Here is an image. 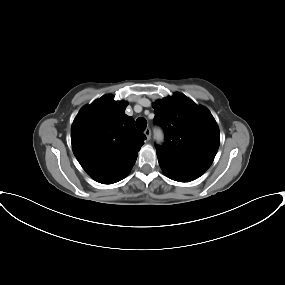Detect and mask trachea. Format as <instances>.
I'll return each mask as SVG.
<instances>
[{
  "instance_id": "3493384b",
  "label": "trachea",
  "mask_w": 285,
  "mask_h": 285,
  "mask_svg": "<svg viewBox=\"0 0 285 285\" xmlns=\"http://www.w3.org/2000/svg\"><path fill=\"white\" fill-rule=\"evenodd\" d=\"M136 127L138 130L140 131H144L146 129V126H147V121L144 119V118H138L136 120Z\"/></svg>"
}]
</instances>
